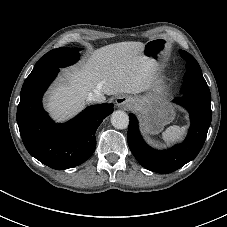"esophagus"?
<instances>
[{
    "label": "esophagus",
    "mask_w": 227,
    "mask_h": 227,
    "mask_svg": "<svg viewBox=\"0 0 227 227\" xmlns=\"http://www.w3.org/2000/svg\"><path fill=\"white\" fill-rule=\"evenodd\" d=\"M116 105L120 108H128L131 104V100L127 96H119L116 98Z\"/></svg>",
    "instance_id": "esophagus-1"
}]
</instances>
